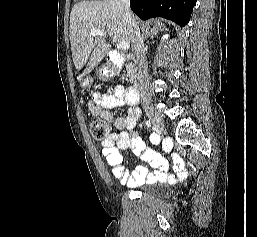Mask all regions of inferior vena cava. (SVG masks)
Here are the masks:
<instances>
[{
	"label": "inferior vena cava",
	"instance_id": "obj_1",
	"mask_svg": "<svg viewBox=\"0 0 257 237\" xmlns=\"http://www.w3.org/2000/svg\"><path fill=\"white\" fill-rule=\"evenodd\" d=\"M123 9L124 20L128 24L131 37L132 49L138 60V84L141 96V102L147 103L151 100V94L148 88V71L145 56L144 41L140 33L138 24L130 11V0H116Z\"/></svg>",
	"mask_w": 257,
	"mask_h": 237
}]
</instances>
